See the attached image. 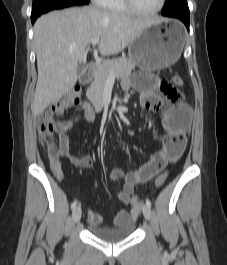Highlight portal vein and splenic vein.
<instances>
[{
    "instance_id": "1",
    "label": "portal vein and splenic vein",
    "mask_w": 227,
    "mask_h": 265,
    "mask_svg": "<svg viewBox=\"0 0 227 265\" xmlns=\"http://www.w3.org/2000/svg\"><path fill=\"white\" fill-rule=\"evenodd\" d=\"M92 45L95 46L99 43V38H95L91 41ZM110 76H114V72L110 71Z\"/></svg>"
}]
</instances>
